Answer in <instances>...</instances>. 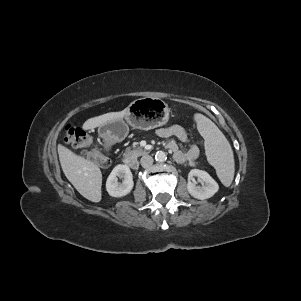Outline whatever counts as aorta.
I'll return each mask as SVG.
<instances>
[{"label": "aorta", "mask_w": 301, "mask_h": 301, "mask_svg": "<svg viewBox=\"0 0 301 301\" xmlns=\"http://www.w3.org/2000/svg\"><path fill=\"white\" fill-rule=\"evenodd\" d=\"M166 159H167V155H166L165 152H163V151L156 152V154H155V160L157 162H165Z\"/></svg>", "instance_id": "obj_1"}]
</instances>
